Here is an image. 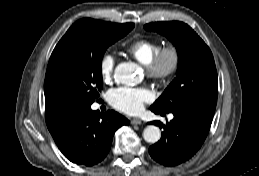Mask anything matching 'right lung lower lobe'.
Returning <instances> with one entry per match:
<instances>
[{"label": "right lung lower lobe", "mask_w": 259, "mask_h": 176, "mask_svg": "<svg viewBox=\"0 0 259 176\" xmlns=\"http://www.w3.org/2000/svg\"><path fill=\"white\" fill-rule=\"evenodd\" d=\"M129 123L115 111L99 114L91 105L65 103L46 113L47 127L60 151L71 162L85 166L102 161L115 131Z\"/></svg>", "instance_id": "right-lung-lower-lobe-1"}]
</instances>
